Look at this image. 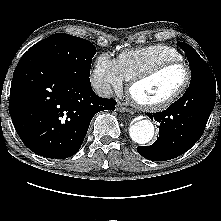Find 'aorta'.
I'll use <instances>...</instances> for the list:
<instances>
[{
  "label": "aorta",
  "instance_id": "obj_1",
  "mask_svg": "<svg viewBox=\"0 0 221 221\" xmlns=\"http://www.w3.org/2000/svg\"><path fill=\"white\" fill-rule=\"evenodd\" d=\"M129 134L134 142L146 144L154 136V125L149 119L139 120L130 126Z\"/></svg>",
  "mask_w": 221,
  "mask_h": 221
}]
</instances>
